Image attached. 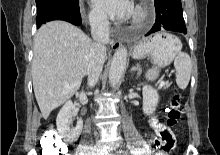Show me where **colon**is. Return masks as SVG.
<instances>
[{
	"instance_id": "colon-1",
	"label": "colon",
	"mask_w": 220,
	"mask_h": 155,
	"mask_svg": "<svg viewBox=\"0 0 220 155\" xmlns=\"http://www.w3.org/2000/svg\"><path fill=\"white\" fill-rule=\"evenodd\" d=\"M180 107L181 100L180 95L175 91L172 96L168 107L166 108V122L165 125L160 124L157 126V137L153 144H150V149L154 155H171V151L174 147L175 139L171 129L176 126L180 119ZM44 148L43 155H64L65 147L59 142L58 138L54 133H46L44 135Z\"/></svg>"
}]
</instances>
